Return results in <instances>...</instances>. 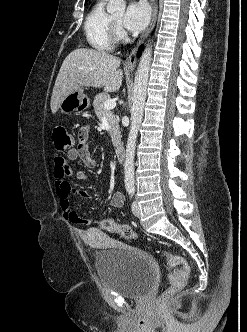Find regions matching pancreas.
Wrapping results in <instances>:
<instances>
[{
	"instance_id": "1",
	"label": "pancreas",
	"mask_w": 247,
	"mask_h": 332,
	"mask_svg": "<svg viewBox=\"0 0 247 332\" xmlns=\"http://www.w3.org/2000/svg\"><path fill=\"white\" fill-rule=\"evenodd\" d=\"M109 99L110 96L108 94L100 93L96 95L93 102V106L95 114L98 117V119H101L102 116H105L107 118L110 127L109 133L112 139V143L114 146H117L121 140V132H120L118 119L110 109L109 110L104 109V103L106 100Z\"/></svg>"
}]
</instances>
